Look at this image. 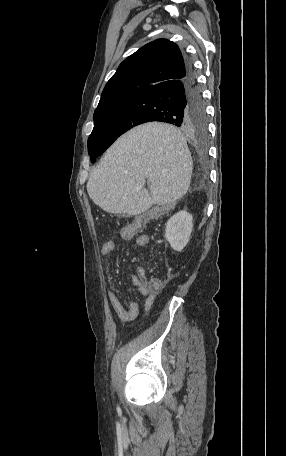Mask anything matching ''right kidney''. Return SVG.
<instances>
[{
    "label": "right kidney",
    "instance_id": "obj_1",
    "mask_svg": "<svg viewBox=\"0 0 286 456\" xmlns=\"http://www.w3.org/2000/svg\"><path fill=\"white\" fill-rule=\"evenodd\" d=\"M192 229V215L186 211H180L168 220L165 238L175 251H182L189 242Z\"/></svg>",
    "mask_w": 286,
    "mask_h": 456
}]
</instances>
